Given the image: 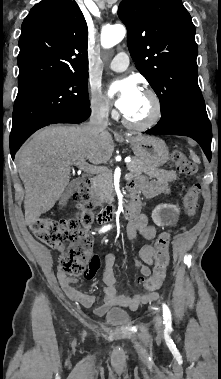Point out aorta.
Returning <instances> with one entry per match:
<instances>
[{
	"label": "aorta",
	"instance_id": "aorta-1",
	"mask_svg": "<svg viewBox=\"0 0 221 379\" xmlns=\"http://www.w3.org/2000/svg\"><path fill=\"white\" fill-rule=\"evenodd\" d=\"M126 34L123 25L106 26L101 32V45L104 48H111L121 42Z\"/></svg>",
	"mask_w": 221,
	"mask_h": 379
}]
</instances>
